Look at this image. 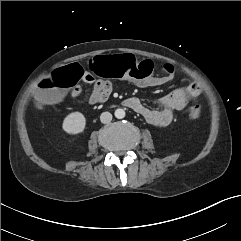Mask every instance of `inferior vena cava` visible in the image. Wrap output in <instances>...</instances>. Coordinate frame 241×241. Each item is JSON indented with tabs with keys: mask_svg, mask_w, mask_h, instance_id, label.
I'll return each mask as SVG.
<instances>
[{
	"mask_svg": "<svg viewBox=\"0 0 241 241\" xmlns=\"http://www.w3.org/2000/svg\"><path fill=\"white\" fill-rule=\"evenodd\" d=\"M112 120V114L109 113V112H103L101 115H100V121L102 123H108Z\"/></svg>",
	"mask_w": 241,
	"mask_h": 241,
	"instance_id": "inferior-vena-cava-1",
	"label": "inferior vena cava"
}]
</instances>
